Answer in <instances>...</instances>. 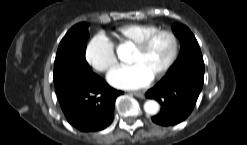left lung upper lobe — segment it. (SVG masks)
<instances>
[{
	"label": "left lung upper lobe",
	"instance_id": "obj_1",
	"mask_svg": "<svg viewBox=\"0 0 247 145\" xmlns=\"http://www.w3.org/2000/svg\"><path fill=\"white\" fill-rule=\"evenodd\" d=\"M172 28L175 35L180 40L181 51L179 58L170 70L185 63H203V57L199 44L190 29L179 23L174 24Z\"/></svg>",
	"mask_w": 247,
	"mask_h": 145
}]
</instances>
